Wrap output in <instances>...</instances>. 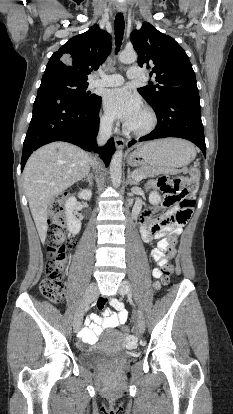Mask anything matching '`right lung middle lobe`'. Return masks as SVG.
<instances>
[{
    "label": "right lung middle lobe",
    "instance_id": "obj_1",
    "mask_svg": "<svg viewBox=\"0 0 233 414\" xmlns=\"http://www.w3.org/2000/svg\"><path fill=\"white\" fill-rule=\"evenodd\" d=\"M88 83L62 76H43L37 96L52 95L77 104L95 102L100 97L86 91Z\"/></svg>",
    "mask_w": 233,
    "mask_h": 414
}]
</instances>
